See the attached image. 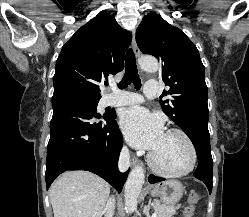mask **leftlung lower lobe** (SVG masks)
<instances>
[{
    "label": "left lung lower lobe",
    "mask_w": 249,
    "mask_h": 217,
    "mask_svg": "<svg viewBox=\"0 0 249 217\" xmlns=\"http://www.w3.org/2000/svg\"><path fill=\"white\" fill-rule=\"evenodd\" d=\"M195 146L198 156V167L194 176L203 181L207 186L209 192L212 191V175H213V160L210 149V135L208 128L205 126H198L195 128V136L191 139ZM163 178L150 175L148 178L149 183H157L163 181Z\"/></svg>",
    "instance_id": "obj_1"
}]
</instances>
